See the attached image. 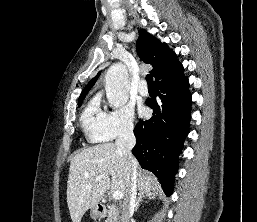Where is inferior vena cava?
I'll return each mask as SVG.
<instances>
[{"instance_id": "602c4592", "label": "inferior vena cava", "mask_w": 257, "mask_h": 222, "mask_svg": "<svg viewBox=\"0 0 257 222\" xmlns=\"http://www.w3.org/2000/svg\"><path fill=\"white\" fill-rule=\"evenodd\" d=\"M133 124H126L118 138L115 141L117 149L124 155L127 160L128 172L130 174V190L125 197L122 205L121 222H129L131 215L134 212L136 206L137 195V170L136 160L134 159L131 150L135 146L136 139L133 133Z\"/></svg>"}]
</instances>
